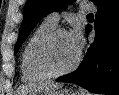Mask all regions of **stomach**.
<instances>
[{
  "mask_svg": "<svg viewBox=\"0 0 119 95\" xmlns=\"http://www.w3.org/2000/svg\"><path fill=\"white\" fill-rule=\"evenodd\" d=\"M33 95H84L82 92L72 89L51 90L44 92H37Z\"/></svg>",
  "mask_w": 119,
  "mask_h": 95,
  "instance_id": "0dacf381",
  "label": "stomach"
}]
</instances>
